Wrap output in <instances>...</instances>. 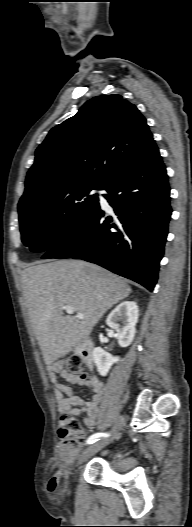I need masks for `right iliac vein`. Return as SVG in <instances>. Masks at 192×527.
<instances>
[{
	"mask_svg": "<svg viewBox=\"0 0 192 527\" xmlns=\"http://www.w3.org/2000/svg\"><path fill=\"white\" fill-rule=\"evenodd\" d=\"M123 419L122 417H118L117 420L114 423V426L111 431V436L105 437L98 442L94 443L93 445L89 446L83 454L79 458V464L85 462L88 460L91 456H93L95 453L100 451L102 448L110 444L119 434L121 427H122Z\"/></svg>",
	"mask_w": 192,
	"mask_h": 527,
	"instance_id": "right-iliac-vein-1",
	"label": "right iliac vein"
}]
</instances>
